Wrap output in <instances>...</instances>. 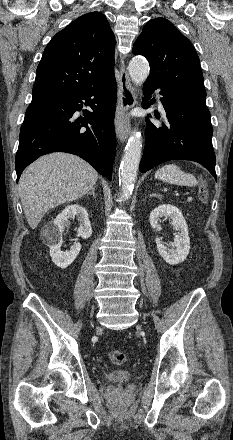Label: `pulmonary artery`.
<instances>
[{
  "label": "pulmonary artery",
  "mask_w": 233,
  "mask_h": 440,
  "mask_svg": "<svg viewBox=\"0 0 233 440\" xmlns=\"http://www.w3.org/2000/svg\"><path fill=\"white\" fill-rule=\"evenodd\" d=\"M157 95H158V97L160 98L161 96L159 95V93L157 92ZM160 108L163 110V106H162V103H161V101H160Z\"/></svg>",
  "instance_id": "1"
}]
</instances>
